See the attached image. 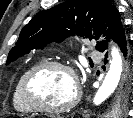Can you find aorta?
<instances>
[{
	"mask_svg": "<svg viewBox=\"0 0 133 118\" xmlns=\"http://www.w3.org/2000/svg\"><path fill=\"white\" fill-rule=\"evenodd\" d=\"M123 73V61L119 49L113 46L111 49V60L109 70L102 82V85L97 90L93 104L98 106L102 104L110 95L114 93L120 83Z\"/></svg>",
	"mask_w": 133,
	"mask_h": 118,
	"instance_id": "obj_1",
	"label": "aorta"
}]
</instances>
